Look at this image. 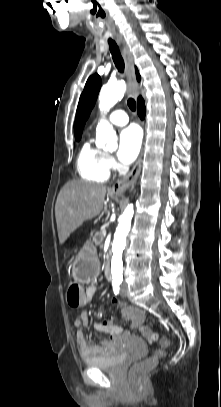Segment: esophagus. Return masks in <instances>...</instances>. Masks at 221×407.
I'll return each mask as SVG.
<instances>
[{
  "label": "esophagus",
  "mask_w": 221,
  "mask_h": 407,
  "mask_svg": "<svg viewBox=\"0 0 221 407\" xmlns=\"http://www.w3.org/2000/svg\"><path fill=\"white\" fill-rule=\"evenodd\" d=\"M116 41L120 47L125 62V70L129 86V92L131 96L137 98L139 94V84L136 79L132 54L122 36L116 35ZM142 155L143 151H141L136 163L134 164L130 172L112 186L111 191L113 193L123 194L130 186H133L136 183L137 178L141 171Z\"/></svg>",
  "instance_id": "1"
}]
</instances>
